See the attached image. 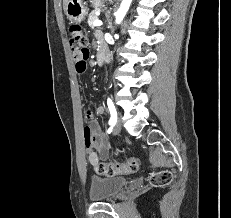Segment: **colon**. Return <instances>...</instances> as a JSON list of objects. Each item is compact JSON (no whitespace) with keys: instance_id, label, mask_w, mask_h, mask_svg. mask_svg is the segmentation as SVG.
<instances>
[{"instance_id":"colon-1","label":"colon","mask_w":231,"mask_h":218,"mask_svg":"<svg viewBox=\"0 0 231 218\" xmlns=\"http://www.w3.org/2000/svg\"><path fill=\"white\" fill-rule=\"evenodd\" d=\"M69 42L72 50L82 56H89L88 38L83 29L78 24L69 27ZM139 159L130 157L124 162L98 163L94 166L96 173L105 176H116L121 174L134 173L139 169ZM173 173L169 170H161L150 176V183L155 187H162L171 183Z\"/></svg>"}]
</instances>
